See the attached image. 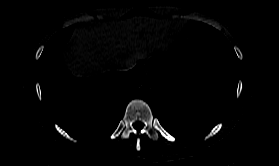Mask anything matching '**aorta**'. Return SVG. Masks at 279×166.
I'll use <instances>...</instances> for the list:
<instances>
[{
  "instance_id": "aorta-1",
  "label": "aorta",
  "mask_w": 279,
  "mask_h": 166,
  "mask_svg": "<svg viewBox=\"0 0 279 166\" xmlns=\"http://www.w3.org/2000/svg\"><path fill=\"white\" fill-rule=\"evenodd\" d=\"M138 91L142 97H148L151 94V87L149 84L144 83L139 87Z\"/></svg>"
}]
</instances>
